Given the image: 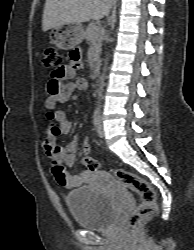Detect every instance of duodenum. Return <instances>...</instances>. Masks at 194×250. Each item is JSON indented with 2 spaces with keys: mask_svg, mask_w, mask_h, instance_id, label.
<instances>
[{
  "mask_svg": "<svg viewBox=\"0 0 194 250\" xmlns=\"http://www.w3.org/2000/svg\"><path fill=\"white\" fill-rule=\"evenodd\" d=\"M100 70H101V62L100 61H97L95 62V64L93 65V70H92V73H93V77L94 78H98L99 74H100Z\"/></svg>",
  "mask_w": 194,
  "mask_h": 250,
  "instance_id": "410a0bca",
  "label": "duodenum"
}]
</instances>
